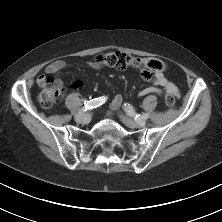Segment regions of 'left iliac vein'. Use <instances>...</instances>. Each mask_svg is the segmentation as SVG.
I'll use <instances>...</instances> for the list:
<instances>
[{"label":"left iliac vein","mask_w":222,"mask_h":222,"mask_svg":"<svg viewBox=\"0 0 222 222\" xmlns=\"http://www.w3.org/2000/svg\"><path fill=\"white\" fill-rule=\"evenodd\" d=\"M119 117L122 120V122L130 128H140V127L145 126V124H146V122L144 120L135 121L123 114H120Z\"/></svg>","instance_id":"1"}]
</instances>
